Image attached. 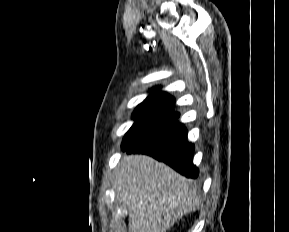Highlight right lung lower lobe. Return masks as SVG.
Masks as SVG:
<instances>
[{
  "instance_id": "1",
  "label": "right lung lower lobe",
  "mask_w": 289,
  "mask_h": 232,
  "mask_svg": "<svg viewBox=\"0 0 289 232\" xmlns=\"http://www.w3.org/2000/svg\"><path fill=\"white\" fill-rule=\"evenodd\" d=\"M128 153H145L165 162L186 177L196 178L198 169L192 162L194 145L187 141V129L174 121L126 147Z\"/></svg>"
}]
</instances>
